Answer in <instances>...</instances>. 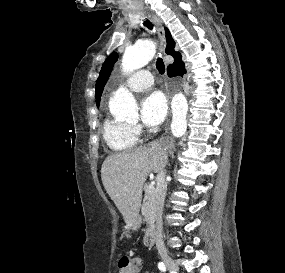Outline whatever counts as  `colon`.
<instances>
[{
	"instance_id": "1",
	"label": "colon",
	"mask_w": 285,
	"mask_h": 273,
	"mask_svg": "<svg viewBox=\"0 0 285 273\" xmlns=\"http://www.w3.org/2000/svg\"><path fill=\"white\" fill-rule=\"evenodd\" d=\"M141 268L139 258L122 257L119 260V273H137Z\"/></svg>"
}]
</instances>
